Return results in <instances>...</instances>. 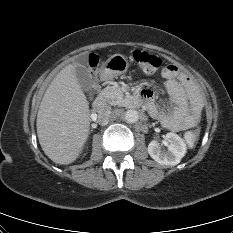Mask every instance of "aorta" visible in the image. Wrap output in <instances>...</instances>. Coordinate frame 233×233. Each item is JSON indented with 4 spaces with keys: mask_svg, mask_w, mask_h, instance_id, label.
Segmentation results:
<instances>
[{
    "mask_svg": "<svg viewBox=\"0 0 233 233\" xmlns=\"http://www.w3.org/2000/svg\"><path fill=\"white\" fill-rule=\"evenodd\" d=\"M139 119V114L136 110L130 109L124 113V120L128 123H135Z\"/></svg>",
    "mask_w": 233,
    "mask_h": 233,
    "instance_id": "aorta-1",
    "label": "aorta"
}]
</instances>
